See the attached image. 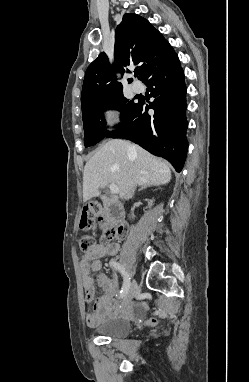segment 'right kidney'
Masks as SVG:
<instances>
[{
	"instance_id": "right-kidney-1",
	"label": "right kidney",
	"mask_w": 249,
	"mask_h": 382,
	"mask_svg": "<svg viewBox=\"0 0 249 382\" xmlns=\"http://www.w3.org/2000/svg\"><path fill=\"white\" fill-rule=\"evenodd\" d=\"M151 203H153V200H151ZM135 211V210H134ZM132 214V213H131ZM131 217V216H130ZM131 221H133V220H131Z\"/></svg>"
}]
</instances>
